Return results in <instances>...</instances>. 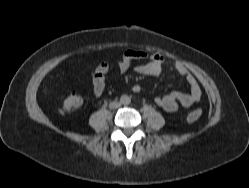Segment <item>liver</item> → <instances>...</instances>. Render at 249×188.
<instances>
[{
	"mask_svg": "<svg viewBox=\"0 0 249 188\" xmlns=\"http://www.w3.org/2000/svg\"><path fill=\"white\" fill-rule=\"evenodd\" d=\"M44 92H45V94H46V93H47V90L45 89Z\"/></svg>",
	"mask_w": 249,
	"mask_h": 188,
	"instance_id": "obj_1",
	"label": "liver"
}]
</instances>
